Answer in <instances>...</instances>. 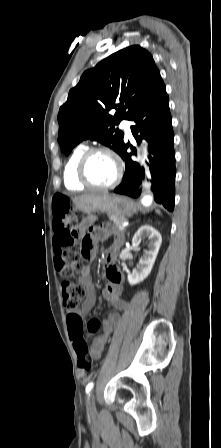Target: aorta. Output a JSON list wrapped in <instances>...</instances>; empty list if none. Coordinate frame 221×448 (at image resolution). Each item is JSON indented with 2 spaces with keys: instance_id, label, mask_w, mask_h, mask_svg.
Wrapping results in <instances>:
<instances>
[{
  "instance_id": "obj_1",
  "label": "aorta",
  "mask_w": 221,
  "mask_h": 448,
  "mask_svg": "<svg viewBox=\"0 0 221 448\" xmlns=\"http://www.w3.org/2000/svg\"><path fill=\"white\" fill-rule=\"evenodd\" d=\"M152 201H153V198L150 195H146L142 199V203L146 206L150 205L152 203Z\"/></svg>"
}]
</instances>
